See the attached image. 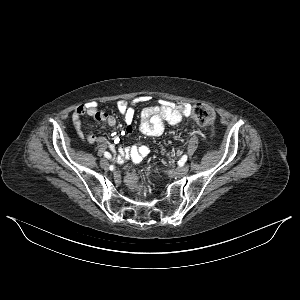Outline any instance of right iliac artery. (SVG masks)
<instances>
[{"label":"right iliac artery","instance_id":"82829eb1","mask_svg":"<svg viewBox=\"0 0 300 300\" xmlns=\"http://www.w3.org/2000/svg\"><path fill=\"white\" fill-rule=\"evenodd\" d=\"M104 156L107 158V159H111V154L109 152H105L104 153Z\"/></svg>","mask_w":300,"mask_h":300}]
</instances>
